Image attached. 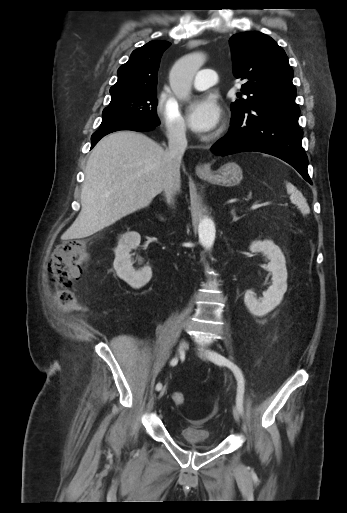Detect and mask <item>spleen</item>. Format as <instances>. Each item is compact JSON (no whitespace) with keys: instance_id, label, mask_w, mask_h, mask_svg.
Masks as SVG:
<instances>
[{"instance_id":"1","label":"spleen","mask_w":347,"mask_h":513,"mask_svg":"<svg viewBox=\"0 0 347 513\" xmlns=\"http://www.w3.org/2000/svg\"><path fill=\"white\" fill-rule=\"evenodd\" d=\"M286 190L291 202L299 208L301 213L309 214L310 208L303 194L291 182H286Z\"/></svg>"}]
</instances>
